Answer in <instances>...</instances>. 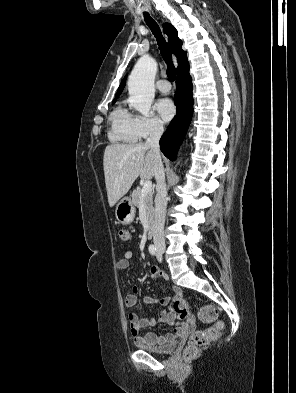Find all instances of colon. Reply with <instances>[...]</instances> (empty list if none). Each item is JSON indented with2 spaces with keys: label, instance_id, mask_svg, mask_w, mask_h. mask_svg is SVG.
Instances as JSON below:
<instances>
[{
  "label": "colon",
  "instance_id": "5ec220e1",
  "mask_svg": "<svg viewBox=\"0 0 296 393\" xmlns=\"http://www.w3.org/2000/svg\"><path fill=\"white\" fill-rule=\"evenodd\" d=\"M115 235L122 241L129 239V233L125 228H117ZM175 315L179 319H187L189 317L188 304L184 299H176L173 307ZM199 319L203 322L212 323L213 325L204 330H198L192 333L189 345L184 351L187 358L194 356L198 349L204 347L208 342L216 338L223 329V323L218 318V311L214 305H204L198 312Z\"/></svg>",
  "mask_w": 296,
  "mask_h": 393
}]
</instances>
